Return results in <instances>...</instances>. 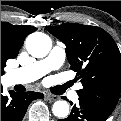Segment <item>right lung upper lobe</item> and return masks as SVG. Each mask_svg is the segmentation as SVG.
<instances>
[{"label":"right lung upper lobe","mask_w":121,"mask_h":121,"mask_svg":"<svg viewBox=\"0 0 121 121\" xmlns=\"http://www.w3.org/2000/svg\"><path fill=\"white\" fill-rule=\"evenodd\" d=\"M35 30L36 28L30 25L14 26L7 22H1V52L8 59L15 58L18 55L25 37Z\"/></svg>","instance_id":"right-lung-upper-lobe-1"}]
</instances>
